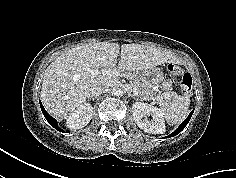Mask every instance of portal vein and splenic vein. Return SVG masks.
Instances as JSON below:
<instances>
[{
	"label": "portal vein and splenic vein",
	"instance_id": "portal-vein-and-splenic-vein-1",
	"mask_svg": "<svg viewBox=\"0 0 236 178\" xmlns=\"http://www.w3.org/2000/svg\"><path fill=\"white\" fill-rule=\"evenodd\" d=\"M91 73H92L93 76H96L98 74H103V75L110 76V77L121 76V73L118 70H115V69L91 70ZM130 83L132 84V81H130ZM134 92H135V94L138 95V93L135 90H134Z\"/></svg>",
	"mask_w": 236,
	"mask_h": 178
}]
</instances>
